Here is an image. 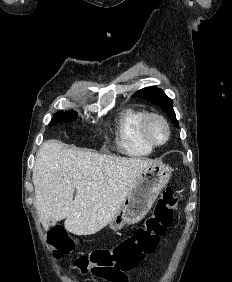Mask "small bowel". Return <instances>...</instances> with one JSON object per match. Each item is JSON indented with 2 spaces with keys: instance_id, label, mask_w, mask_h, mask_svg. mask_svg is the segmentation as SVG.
Segmentation results:
<instances>
[{
  "instance_id": "1",
  "label": "small bowel",
  "mask_w": 232,
  "mask_h": 282,
  "mask_svg": "<svg viewBox=\"0 0 232 282\" xmlns=\"http://www.w3.org/2000/svg\"><path fill=\"white\" fill-rule=\"evenodd\" d=\"M103 282H128L129 278L126 271L116 270L109 276L99 277Z\"/></svg>"
}]
</instances>
